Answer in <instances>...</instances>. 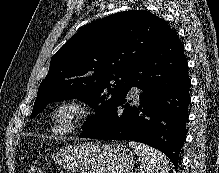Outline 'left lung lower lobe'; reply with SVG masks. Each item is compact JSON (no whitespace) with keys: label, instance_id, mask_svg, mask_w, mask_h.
Returning a JSON list of instances; mask_svg holds the SVG:
<instances>
[{"label":"left lung lower lobe","instance_id":"1","mask_svg":"<svg viewBox=\"0 0 219 173\" xmlns=\"http://www.w3.org/2000/svg\"><path fill=\"white\" fill-rule=\"evenodd\" d=\"M131 81V88L142 90L139 105H132L127 93L102 127L80 137L142 142L162 151L177 167L187 133L190 78L174 31L140 58Z\"/></svg>","mask_w":219,"mask_h":173}]
</instances>
